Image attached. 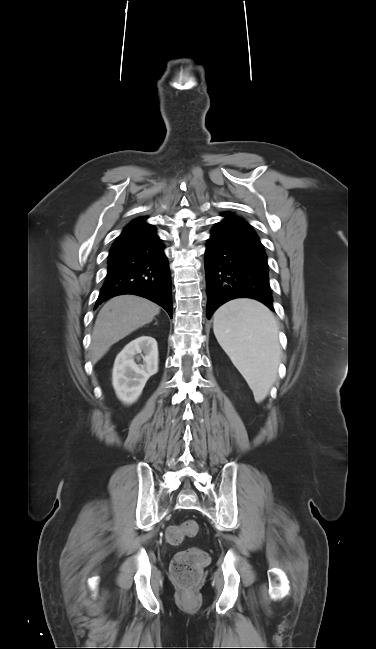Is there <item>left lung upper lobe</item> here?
<instances>
[{"instance_id":"1","label":"left lung upper lobe","mask_w":376,"mask_h":649,"mask_svg":"<svg viewBox=\"0 0 376 649\" xmlns=\"http://www.w3.org/2000/svg\"><path fill=\"white\" fill-rule=\"evenodd\" d=\"M223 215H228V213H223Z\"/></svg>"}]
</instances>
